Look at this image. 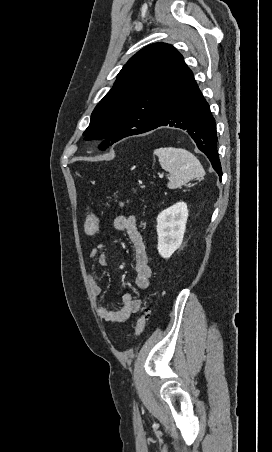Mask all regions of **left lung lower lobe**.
I'll return each mask as SVG.
<instances>
[{
    "label": "left lung lower lobe",
    "instance_id": "obj_1",
    "mask_svg": "<svg viewBox=\"0 0 272 452\" xmlns=\"http://www.w3.org/2000/svg\"><path fill=\"white\" fill-rule=\"evenodd\" d=\"M160 126H170L185 130L195 141L198 149L208 157L219 177H222L217 151L215 119L194 80L192 72L189 73L164 104L155 123L147 129L132 135L145 133Z\"/></svg>",
    "mask_w": 272,
    "mask_h": 452
}]
</instances>
